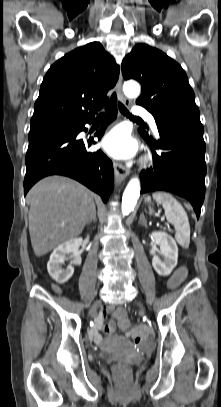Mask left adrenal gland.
<instances>
[{
    "label": "left adrenal gland",
    "instance_id": "a2214340",
    "mask_svg": "<svg viewBox=\"0 0 221 407\" xmlns=\"http://www.w3.org/2000/svg\"><path fill=\"white\" fill-rule=\"evenodd\" d=\"M139 224H142L143 226L147 227V221H146L143 213L140 214Z\"/></svg>",
    "mask_w": 221,
    "mask_h": 407
}]
</instances>
